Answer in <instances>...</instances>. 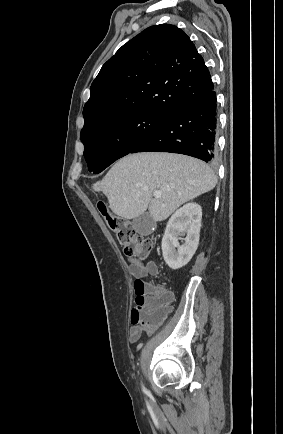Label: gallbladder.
Masks as SVG:
<instances>
[{
	"mask_svg": "<svg viewBox=\"0 0 283 434\" xmlns=\"http://www.w3.org/2000/svg\"><path fill=\"white\" fill-rule=\"evenodd\" d=\"M132 226L138 234L147 236L155 230L156 222L145 212L133 219Z\"/></svg>",
	"mask_w": 283,
	"mask_h": 434,
	"instance_id": "gallbladder-1",
	"label": "gallbladder"
}]
</instances>
